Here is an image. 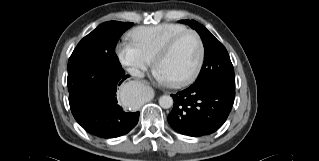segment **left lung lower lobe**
I'll return each mask as SVG.
<instances>
[{"mask_svg": "<svg viewBox=\"0 0 319 161\" xmlns=\"http://www.w3.org/2000/svg\"><path fill=\"white\" fill-rule=\"evenodd\" d=\"M171 96L174 106L168 115L170 126L183 135L199 137L223 125L232 108L235 89L214 83L192 84Z\"/></svg>", "mask_w": 319, "mask_h": 161, "instance_id": "obj_1", "label": "left lung lower lobe"}]
</instances>
